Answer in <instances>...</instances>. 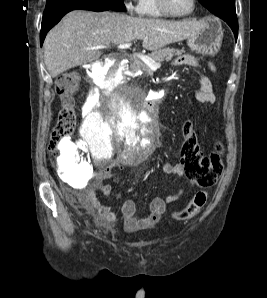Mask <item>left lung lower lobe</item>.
Wrapping results in <instances>:
<instances>
[{"label":"left lung lower lobe","instance_id":"left-lung-lower-lobe-1","mask_svg":"<svg viewBox=\"0 0 267 298\" xmlns=\"http://www.w3.org/2000/svg\"><path fill=\"white\" fill-rule=\"evenodd\" d=\"M221 19H223L232 29L234 32L235 38L237 39L238 36V21H237V16L235 14H230V15H221Z\"/></svg>","mask_w":267,"mask_h":298}]
</instances>
